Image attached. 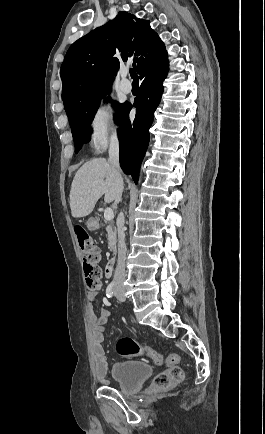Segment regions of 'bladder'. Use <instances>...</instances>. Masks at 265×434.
<instances>
[{"instance_id": "obj_1", "label": "bladder", "mask_w": 265, "mask_h": 434, "mask_svg": "<svg viewBox=\"0 0 265 434\" xmlns=\"http://www.w3.org/2000/svg\"><path fill=\"white\" fill-rule=\"evenodd\" d=\"M151 374L149 364L135 360L115 363L110 369L112 379L124 394L136 393Z\"/></svg>"}]
</instances>
